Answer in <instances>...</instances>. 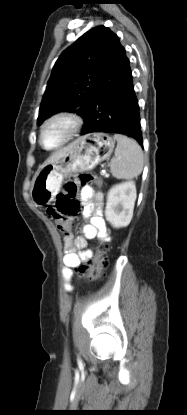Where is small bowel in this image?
I'll return each mask as SVG.
<instances>
[{
  "instance_id": "c3829d8e",
  "label": "small bowel",
  "mask_w": 187,
  "mask_h": 415,
  "mask_svg": "<svg viewBox=\"0 0 187 415\" xmlns=\"http://www.w3.org/2000/svg\"><path fill=\"white\" fill-rule=\"evenodd\" d=\"M82 215L90 220L82 228V234L74 239L65 238L63 256V277L66 282V289L72 290L70 281L73 269L81 263L87 262L92 256V249L87 248V240L99 237L102 240H109V234L103 219L104 196L102 192L89 186L81 188Z\"/></svg>"
}]
</instances>
